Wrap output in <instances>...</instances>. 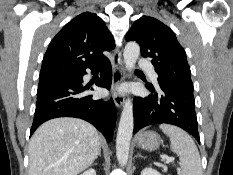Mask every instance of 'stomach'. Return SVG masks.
Listing matches in <instances>:
<instances>
[{
    "instance_id": "obj_1",
    "label": "stomach",
    "mask_w": 233,
    "mask_h": 175,
    "mask_svg": "<svg viewBox=\"0 0 233 175\" xmlns=\"http://www.w3.org/2000/svg\"><path fill=\"white\" fill-rule=\"evenodd\" d=\"M160 136L153 131H143L137 136V145L145 150H156L160 145Z\"/></svg>"
}]
</instances>
